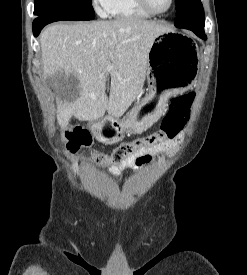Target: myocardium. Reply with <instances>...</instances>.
Instances as JSON below:
<instances>
[{"mask_svg": "<svg viewBox=\"0 0 247 275\" xmlns=\"http://www.w3.org/2000/svg\"><path fill=\"white\" fill-rule=\"evenodd\" d=\"M138 3L145 11H147L151 15H163V14L168 13L172 9V7L174 5V0H170L168 8L163 11L154 10L151 7V5L149 4L148 0H138Z\"/></svg>", "mask_w": 247, "mask_h": 275, "instance_id": "1", "label": "myocardium"}]
</instances>
